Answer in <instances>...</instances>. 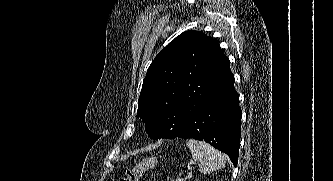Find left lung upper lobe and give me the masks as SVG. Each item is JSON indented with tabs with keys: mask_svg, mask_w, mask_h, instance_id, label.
Masks as SVG:
<instances>
[{
	"mask_svg": "<svg viewBox=\"0 0 333 181\" xmlns=\"http://www.w3.org/2000/svg\"><path fill=\"white\" fill-rule=\"evenodd\" d=\"M229 64L215 40L200 31L183 32L163 48L148 68L138 100L137 117L150 138L173 134L168 120L198 110Z\"/></svg>",
	"mask_w": 333,
	"mask_h": 181,
	"instance_id": "left-lung-upper-lobe-1",
	"label": "left lung upper lobe"
}]
</instances>
